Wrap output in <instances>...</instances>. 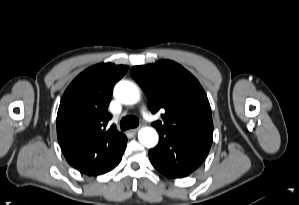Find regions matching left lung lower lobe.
I'll use <instances>...</instances> for the list:
<instances>
[{"instance_id":"0a47b994","label":"left lung lower lobe","mask_w":299,"mask_h":205,"mask_svg":"<svg viewBox=\"0 0 299 205\" xmlns=\"http://www.w3.org/2000/svg\"><path fill=\"white\" fill-rule=\"evenodd\" d=\"M158 145L149 151L151 164L162 174L182 178L191 174L205 160L212 139L181 134L159 133Z\"/></svg>"}]
</instances>
